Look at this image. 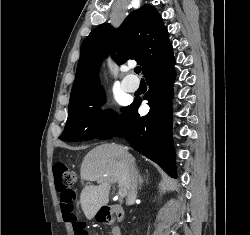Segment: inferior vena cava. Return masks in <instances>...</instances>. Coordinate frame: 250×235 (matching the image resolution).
<instances>
[{
	"label": "inferior vena cava",
	"instance_id": "602c4592",
	"mask_svg": "<svg viewBox=\"0 0 250 235\" xmlns=\"http://www.w3.org/2000/svg\"><path fill=\"white\" fill-rule=\"evenodd\" d=\"M124 159L130 163V181H129V188H128V194H127V204H130L131 202H133L136 198L137 195V180H138V176L136 173V169L135 166L133 164V158L131 157V155L125 151L124 154Z\"/></svg>",
	"mask_w": 250,
	"mask_h": 235
}]
</instances>
